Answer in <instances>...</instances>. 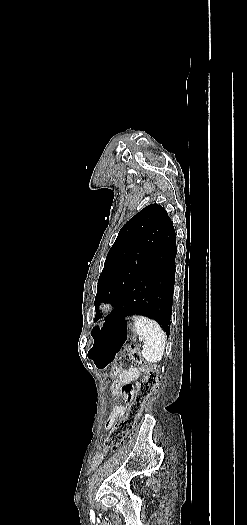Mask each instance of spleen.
Wrapping results in <instances>:
<instances>
[{
	"mask_svg": "<svg viewBox=\"0 0 247 525\" xmlns=\"http://www.w3.org/2000/svg\"><path fill=\"white\" fill-rule=\"evenodd\" d=\"M135 321V333L139 335V341L146 340L143 345L142 357L147 363H158L161 361L166 345L164 331L156 321L147 317H132Z\"/></svg>",
	"mask_w": 247,
	"mask_h": 525,
	"instance_id": "3e777b00",
	"label": "spleen"
}]
</instances>
